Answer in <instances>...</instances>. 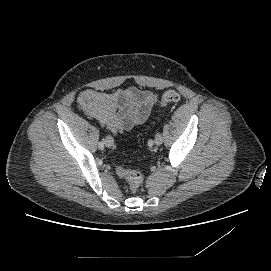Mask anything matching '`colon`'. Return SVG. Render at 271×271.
I'll list each match as a JSON object with an SVG mask.
<instances>
[{"mask_svg": "<svg viewBox=\"0 0 271 271\" xmlns=\"http://www.w3.org/2000/svg\"><path fill=\"white\" fill-rule=\"evenodd\" d=\"M179 99L180 96L177 91L168 90L162 95L161 99L158 102V105L164 106L169 103H175ZM116 173L120 178L124 179L128 183L129 188L132 192L138 191L144 180L143 175L135 170H128L122 167H117Z\"/></svg>", "mask_w": 271, "mask_h": 271, "instance_id": "colon-1", "label": "colon"}]
</instances>
